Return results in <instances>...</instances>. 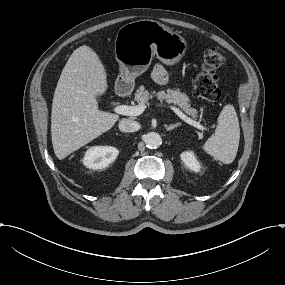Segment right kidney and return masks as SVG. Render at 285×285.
I'll use <instances>...</instances> for the list:
<instances>
[{
	"label": "right kidney",
	"instance_id": "right-kidney-1",
	"mask_svg": "<svg viewBox=\"0 0 285 285\" xmlns=\"http://www.w3.org/2000/svg\"><path fill=\"white\" fill-rule=\"evenodd\" d=\"M118 153V150L113 147H93L86 152L83 163L93 170L102 169L112 163Z\"/></svg>",
	"mask_w": 285,
	"mask_h": 285
}]
</instances>
